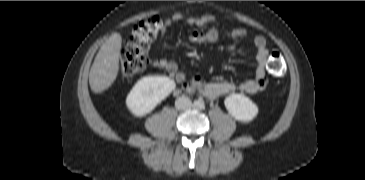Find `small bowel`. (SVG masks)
<instances>
[{
    "instance_id": "obj_1",
    "label": "small bowel",
    "mask_w": 365,
    "mask_h": 180,
    "mask_svg": "<svg viewBox=\"0 0 365 180\" xmlns=\"http://www.w3.org/2000/svg\"><path fill=\"white\" fill-rule=\"evenodd\" d=\"M180 21L196 26L197 29L190 34V40L195 43L215 42L221 35L232 39H241L245 38L248 34L245 28H220L217 19L212 15L195 17L184 15L182 13H175L164 20L162 29L159 33L160 41L164 40L167 27ZM253 45L256 50L257 61L255 77L240 83H233L229 81L205 82L200 78H196L193 81H187L185 73L179 69L176 62L167 58H153L151 60V65L172 73L175 80L182 85V88L185 91L189 93H201L210 100H215L234 92L254 95L263 91L267 86L266 66L268 49L266 39L261 35L254 37Z\"/></svg>"
}]
</instances>
